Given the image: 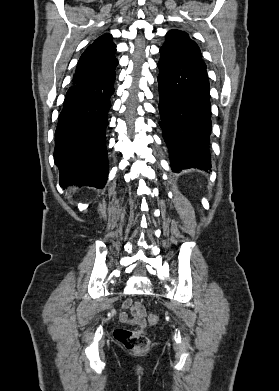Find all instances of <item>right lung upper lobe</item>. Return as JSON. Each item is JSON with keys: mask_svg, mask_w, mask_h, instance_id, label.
Returning <instances> with one entry per match:
<instances>
[{"mask_svg": "<svg viewBox=\"0 0 279 391\" xmlns=\"http://www.w3.org/2000/svg\"><path fill=\"white\" fill-rule=\"evenodd\" d=\"M115 51L116 46L110 34L98 37L81 55L73 76V84L94 81L114 72L118 64Z\"/></svg>", "mask_w": 279, "mask_h": 391, "instance_id": "1", "label": "right lung upper lobe"}]
</instances>
